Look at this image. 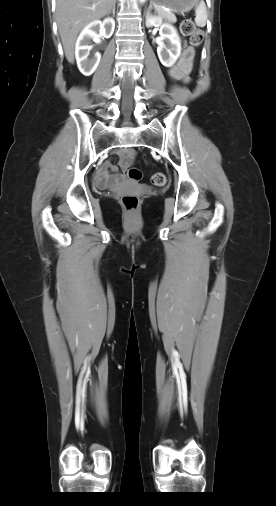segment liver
I'll list each match as a JSON object with an SVG mask.
<instances>
[{
    "label": "liver",
    "instance_id": "obj_1",
    "mask_svg": "<svg viewBox=\"0 0 276 506\" xmlns=\"http://www.w3.org/2000/svg\"><path fill=\"white\" fill-rule=\"evenodd\" d=\"M116 0H57L56 20L63 49L74 63V45L78 33L92 21L110 13Z\"/></svg>",
    "mask_w": 276,
    "mask_h": 506
}]
</instances>
